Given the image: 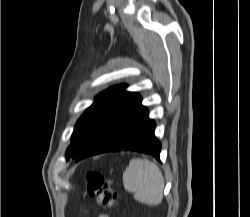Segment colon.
<instances>
[{
    "label": "colon",
    "instance_id": "1",
    "mask_svg": "<svg viewBox=\"0 0 250 217\" xmlns=\"http://www.w3.org/2000/svg\"><path fill=\"white\" fill-rule=\"evenodd\" d=\"M87 191L105 210H110L118 204L115 189L99 172L89 171L87 173Z\"/></svg>",
    "mask_w": 250,
    "mask_h": 217
}]
</instances>
